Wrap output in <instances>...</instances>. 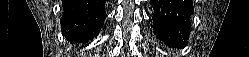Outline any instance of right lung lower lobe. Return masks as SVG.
I'll return each instance as SVG.
<instances>
[{
  "instance_id": "right-lung-lower-lobe-1",
  "label": "right lung lower lobe",
  "mask_w": 249,
  "mask_h": 57,
  "mask_svg": "<svg viewBox=\"0 0 249 57\" xmlns=\"http://www.w3.org/2000/svg\"><path fill=\"white\" fill-rule=\"evenodd\" d=\"M106 0H63V30H69L76 42L96 37L106 18Z\"/></svg>"
}]
</instances>
